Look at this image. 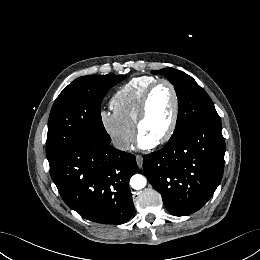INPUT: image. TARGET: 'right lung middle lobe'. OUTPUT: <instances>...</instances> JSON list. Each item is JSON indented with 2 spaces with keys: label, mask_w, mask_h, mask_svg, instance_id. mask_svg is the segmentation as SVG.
Returning a JSON list of instances; mask_svg holds the SVG:
<instances>
[{
  "label": "right lung middle lobe",
  "mask_w": 260,
  "mask_h": 260,
  "mask_svg": "<svg viewBox=\"0 0 260 260\" xmlns=\"http://www.w3.org/2000/svg\"><path fill=\"white\" fill-rule=\"evenodd\" d=\"M124 75H90L69 84L55 100L48 122L46 152L53 161L67 148L86 141L110 144L101 119V101Z\"/></svg>",
  "instance_id": "1"
}]
</instances>
